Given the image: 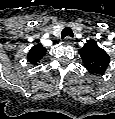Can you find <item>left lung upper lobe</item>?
I'll return each instance as SVG.
<instances>
[{"mask_svg": "<svg viewBox=\"0 0 115 119\" xmlns=\"http://www.w3.org/2000/svg\"><path fill=\"white\" fill-rule=\"evenodd\" d=\"M79 54L84 62V67L92 74H103L110 63L109 55L92 39L79 50Z\"/></svg>", "mask_w": 115, "mask_h": 119, "instance_id": "5c2ea615", "label": "left lung upper lobe"}]
</instances>
